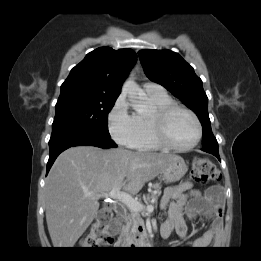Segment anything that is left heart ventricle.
I'll return each mask as SVG.
<instances>
[{"label":"left heart ventricle","instance_id":"obj_1","mask_svg":"<svg viewBox=\"0 0 261 261\" xmlns=\"http://www.w3.org/2000/svg\"><path fill=\"white\" fill-rule=\"evenodd\" d=\"M166 132L169 140L177 146H186L196 137V125L192 117L184 111H175L168 118Z\"/></svg>","mask_w":261,"mask_h":261}]
</instances>
